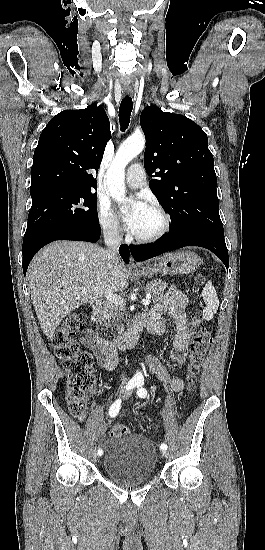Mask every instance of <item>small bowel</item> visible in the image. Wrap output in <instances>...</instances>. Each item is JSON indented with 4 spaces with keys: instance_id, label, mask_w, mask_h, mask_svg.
I'll return each mask as SVG.
<instances>
[{
    "instance_id": "obj_1",
    "label": "small bowel",
    "mask_w": 265,
    "mask_h": 550,
    "mask_svg": "<svg viewBox=\"0 0 265 550\" xmlns=\"http://www.w3.org/2000/svg\"><path fill=\"white\" fill-rule=\"evenodd\" d=\"M187 297L180 290L170 287L168 292L155 304L146 314L145 321L149 331L156 336L168 335L172 345L171 359L176 368H181L188 355L190 334L187 329V318L185 308ZM174 321V332L168 334L166 316ZM81 342L92 349L98 359V363L107 371H112L118 363V354L115 348L106 339L99 337L93 330H88ZM150 372L163 383H171L172 390L180 392L184 389L185 380L177 376L170 380L166 367L161 361L153 356L147 357L144 361ZM106 426L101 424L102 429Z\"/></svg>"
}]
</instances>
